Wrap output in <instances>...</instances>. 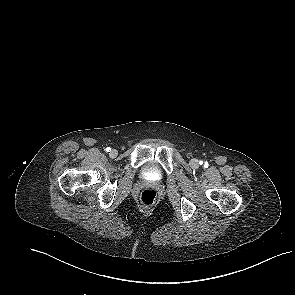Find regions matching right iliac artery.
I'll list each match as a JSON object with an SVG mask.
<instances>
[{"label":"right iliac artery","instance_id":"82829eb1","mask_svg":"<svg viewBox=\"0 0 295 295\" xmlns=\"http://www.w3.org/2000/svg\"><path fill=\"white\" fill-rule=\"evenodd\" d=\"M111 151V148L110 147H107L106 148V152H110Z\"/></svg>","mask_w":295,"mask_h":295}]
</instances>
